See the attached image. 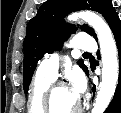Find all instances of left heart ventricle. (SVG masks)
Returning a JSON list of instances; mask_svg holds the SVG:
<instances>
[{
  "instance_id": "left-heart-ventricle-1",
  "label": "left heart ventricle",
  "mask_w": 121,
  "mask_h": 113,
  "mask_svg": "<svg viewBox=\"0 0 121 113\" xmlns=\"http://www.w3.org/2000/svg\"><path fill=\"white\" fill-rule=\"evenodd\" d=\"M78 103V98L70 88H58L53 93L52 111L54 113H68L74 110Z\"/></svg>"
}]
</instances>
